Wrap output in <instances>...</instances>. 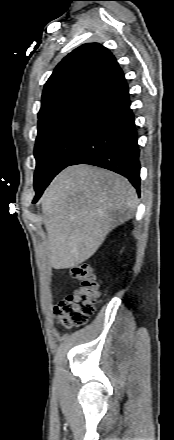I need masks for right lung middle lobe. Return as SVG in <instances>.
Wrapping results in <instances>:
<instances>
[{
  "mask_svg": "<svg viewBox=\"0 0 174 440\" xmlns=\"http://www.w3.org/2000/svg\"><path fill=\"white\" fill-rule=\"evenodd\" d=\"M97 96L82 97L39 120L34 151L35 188L49 184L74 158L93 120Z\"/></svg>",
  "mask_w": 174,
  "mask_h": 440,
  "instance_id": "dd1d6c3e",
  "label": "right lung middle lobe"
}]
</instances>
